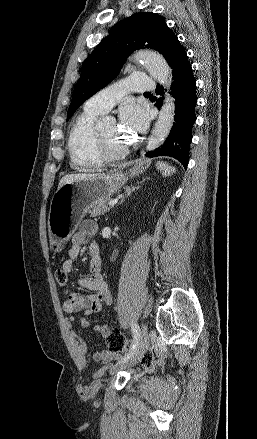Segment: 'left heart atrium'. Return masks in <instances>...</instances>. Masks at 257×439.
I'll return each mask as SVG.
<instances>
[{"label": "left heart atrium", "mask_w": 257, "mask_h": 439, "mask_svg": "<svg viewBox=\"0 0 257 439\" xmlns=\"http://www.w3.org/2000/svg\"><path fill=\"white\" fill-rule=\"evenodd\" d=\"M121 126L131 136L145 131L148 118L144 109L136 104H128L120 110Z\"/></svg>", "instance_id": "39dd6f15"}]
</instances>
